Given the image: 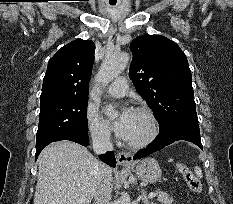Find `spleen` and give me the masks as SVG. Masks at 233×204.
Returning <instances> with one entry per match:
<instances>
[{
    "instance_id": "obj_1",
    "label": "spleen",
    "mask_w": 233,
    "mask_h": 204,
    "mask_svg": "<svg viewBox=\"0 0 233 204\" xmlns=\"http://www.w3.org/2000/svg\"><path fill=\"white\" fill-rule=\"evenodd\" d=\"M194 172L199 179H201L203 177L202 170L199 166L194 167Z\"/></svg>"
}]
</instances>
